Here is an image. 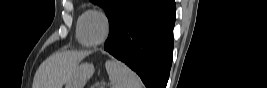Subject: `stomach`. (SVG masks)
I'll return each mask as SVG.
<instances>
[{"instance_id":"1","label":"stomach","mask_w":267,"mask_h":88,"mask_svg":"<svg viewBox=\"0 0 267 88\" xmlns=\"http://www.w3.org/2000/svg\"><path fill=\"white\" fill-rule=\"evenodd\" d=\"M94 73V66L90 63L80 64L70 79L67 81L65 88H84L86 82Z\"/></svg>"}]
</instances>
